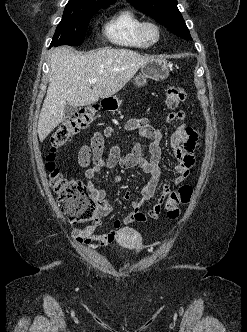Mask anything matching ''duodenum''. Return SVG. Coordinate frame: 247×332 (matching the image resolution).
Masks as SVG:
<instances>
[{"mask_svg":"<svg viewBox=\"0 0 247 332\" xmlns=\"http://www.w3.org/2000/svg\"><path fill=\"white\" fill-rule=\"evenodd\" d=\"M103 105H104V106H108V105H110V101H104V102H103Z\"/></svg>","mask_w":247,"mask_h":332,"instance_id":"duodenum-1","label":"duodenum"}]
</instances>
